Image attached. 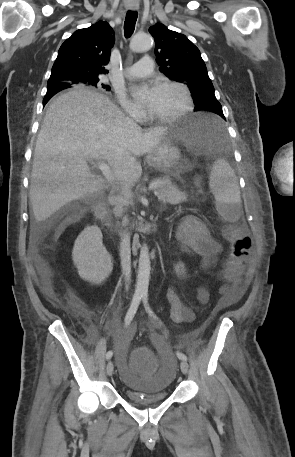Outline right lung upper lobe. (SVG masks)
<instances>
[{"mask_svg":"<svg viewBox=\"0 0 295 457\" xmlns=\"http://www.w3.org/2000/svg\"><path fill=\"white\" fill-rule=\"evenodd\" d=\"M114 41V31L107 22L75 31L61 45L47 86L87 84L89 79L108 73L105 66Z\"/></svg>","mask_w":295,"mask_h":457,"instance_id":"cb5924a9","label":"right lung upper lobe"}]
</instances>
